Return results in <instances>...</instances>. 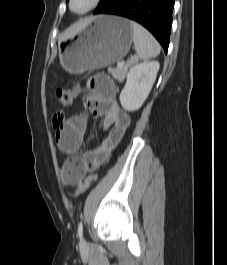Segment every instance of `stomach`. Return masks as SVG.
Here are the masks:
<instances>
[{
	"label": "stomach",
	"mask_w": 227,
	"mask_h": 265,
	"mask_svg": "<svg viewBox=\"0 0 227 265\" xmlns=\"http://www.w3.org/2000/svg\"><path fill=\"white\" fill-rule=\"evenodd\" d=\"M132 40L133 29L127 19L99 15L75 39L59 43V62L70 74L103 68L120 61Z\"/></svg>",
	"instance_id": "0dacf381"
}]
</instances>
